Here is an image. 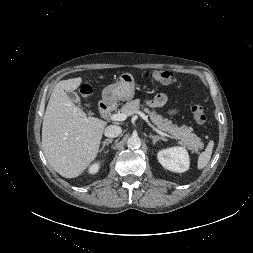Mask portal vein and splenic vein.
Listing matches in <instances>:
<instances>
[{"mask_svg": "<svg viewBox=\"0 0 253 253\" xmlns=\"http://www.w3.org/2000/svg\"><path fill=\"white\" fill-rule=\"evenodd\" d=\"M143 120H145V122L151 127L153 128L156 132L160 133L163 135V133L161 131H159L156 127H154L152 125V123L149 121L148 117L143 113V112H140V111H137L136 112ZM127 116L126 114L124 113H117V114H112L110 116L111 120L113 121H124L127 119Z\"/></svg>", "mask_w": 253, "mask_h": 253, "instance_id": "1", "label": "portal vein and splenic vein"}]
</instances>
